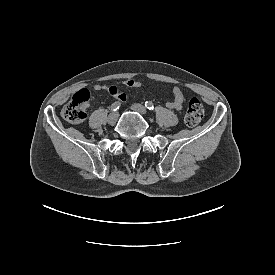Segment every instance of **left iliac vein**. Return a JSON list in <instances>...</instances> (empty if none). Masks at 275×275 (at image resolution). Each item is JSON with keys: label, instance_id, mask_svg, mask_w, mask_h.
<instances>
[{"label": "left iliac vein", "instance_id": "1", "mask_svg": "<svg viewBox=\"0 0 275 275\" xmlns=\"http://www.w3.org/2000/svg\"><path fill=\"white\" fill-rule=\"evenodd\" d=\"M131 109L135 112L140 113L143 116H147V114H148L146 108L141 104H133L131 106Z\"/></svg>", "mask_w": 275, "mask_h": 275}]
</instances>
